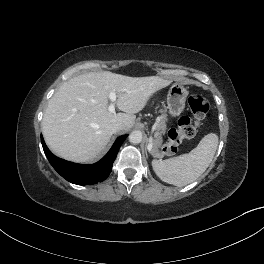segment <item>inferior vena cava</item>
Segmentation results:
<instances>
[{
	"label": "inferior vena cava",
	"mask_w": 264,
	"mask_h": 264,
	"mask_svg": "<svg viewBox=\"0 0 264 264\" xmlns=\"http://www.w3.org/2000/svg\"><path fill=\"white\" fill-rule=\"evenodd\" d=\"M123 124L122 123H116L112 126V131L113 132H117L119 130H122L123 129Z\"/></svg>",
	"instance_id": "602c4592"
}]
</instances>
